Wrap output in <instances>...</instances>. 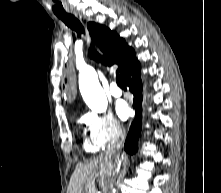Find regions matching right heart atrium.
<instances>
[{"label": "right heart atrium", "mask_w": 221, "mask_h": 193, "mask_svg": "<svg viewBox=\"0 0 221 193\" xmlns=\"http://www.w3.org/2000/svg\"><path fill=\"white\" fill-rule=\"evenodd\" d=\"M84 122L91 139L102 148L115 143L125 134L122 123L110 113H89Z\"/></svg>", "instance_id": "d8ad5b80"}]
</instances>
